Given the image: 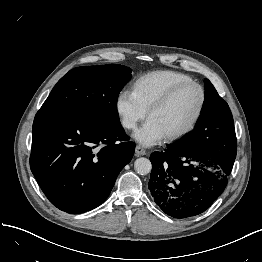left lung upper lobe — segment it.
I'll use <instances>...</instances> for the list:
<instances>
[{"label": "left lung upper lobe", "instance_id": "obj_1", "mask_svg": "<svg viewBox=\"0 0 262 262\" xmlns=\"http://www.w3.org/2000/svg\"><path fill=\"white\" fill-rule=\"evenodd\" d=\"M204 84L205 100L194 130L172 145L177 149L218 155L223 152L226 142L236 139L234 122L228 104L212 83L205 79Z\"/></svg>", "mask_w": 262, "mask_h": 262}]
</instances>
